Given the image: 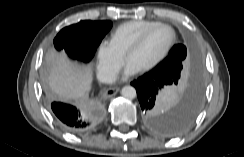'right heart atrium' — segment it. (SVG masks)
Returning a JSON list of instances; mask_svg holds the SVG:
<instances>
[{"instance_id": "right-heart-atrium-1", "label": "right heart atrium", "mask_w": 244, "mask_h": 157, "mask_svg": "<svg viewBox=\"0 0 244 157\" xmlns=\"http://www.w3.org/2000/svg\"><path fill=\"white\" fill-rule=\"evenodd\" d=\"M123 63V55L113 46L111 41L104 40L97 51V74L104 81H111Z\"/></svg>"}]
</instances>
